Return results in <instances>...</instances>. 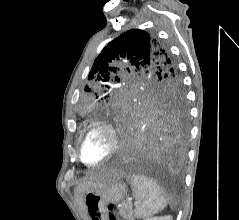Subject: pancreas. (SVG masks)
I'll return each instance as SVG.
<instances>
[{
    "mask_svg": "<svg viewBox=\"0 0 239 220\" xmlns=\"http://www.w3.org/2000/svg\"><path fill=\"white\" fill-rule=\"evenodd\" d=\"M119 214L126 220H134L133 210L130 205H122L119 207Z\"/></svg>",
    "mask_w": 239,
    "mask_h": 220,
    "instance_id": "cf45deb5",
    "label": "pancreas"
}]
</instances>
